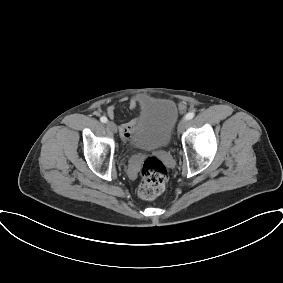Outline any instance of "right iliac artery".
<instances>
[{"label":"right iliac artery","instance_id":"right-iliac-artery-1","mask_svg":"<svg viewBox=\"0 0 283 283\" xmlns=\"http://www.w3.org/2000/svg\"><path fill=\"white\" fill-rule=\"evenodd\" d=\"M100 121H101L102 123H106V122L108 121V119H107L105 116H102V117L100 118Z\"/></svg>","mask_w":283,"mask_h":283}]
</instances>
